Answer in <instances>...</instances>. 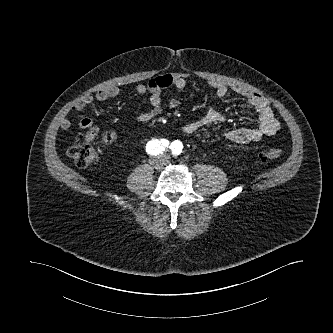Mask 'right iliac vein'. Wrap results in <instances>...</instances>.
<instances>
[{
	"instance_id": "1",
	"label": "right iliac vein",
	"mask_w": 333,
	"mask_h": 333,
	"mask_svg": "<svg viewBox=\"0 0 333 333\" xmlns=\"http://www.w3.org/2000/svg\"><path fill=\"white\" fill-rule=\"evenodd\" d=\"M152 165L155 166L156 168L159 166V163L157 160L152 161Z\"/></svg>"
}]
</instances>
